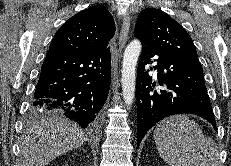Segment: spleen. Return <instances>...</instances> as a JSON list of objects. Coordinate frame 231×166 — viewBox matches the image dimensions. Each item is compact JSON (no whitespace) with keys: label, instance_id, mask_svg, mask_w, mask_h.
<instances>
[{"label":"spleen","instance_id":"1","mask_svg":"<svg viewBox=\"0 0 231 166\" xmlns=\"http://www.w3.org/2000/svg\"><path fill=\"white\" fill-rule=\"evenodd\" d=\"M154 140L161 158L170 166H221L215 141L197 122L174 115L158 123Z\"/></svg>","mask_w":231,"mask_h":166}]
</instances>
